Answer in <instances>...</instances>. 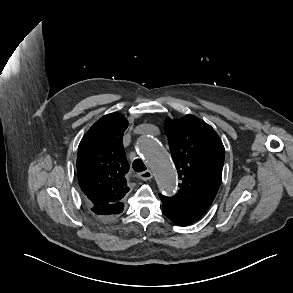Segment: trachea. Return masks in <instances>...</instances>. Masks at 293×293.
Returning <instances> with one entry per match:
<instances>
[{
    "label": "trachea",
    "mask_w": 293,
    "mask_h": 293,
    "mask_svg": "<svg viewBox=\"0 0 293 293\" xmlns=\"http://www.w3.org/2000/svg\"><path fill=\"white\" fill-rule=\"evenodd\" d=\"M132 166H133V169L136 172H142V171H145L147 169L145 164L143 163V161L141 159L134 160Z\"/></svg>",
    "instance_id": "obj_1"
}]
</instances>
